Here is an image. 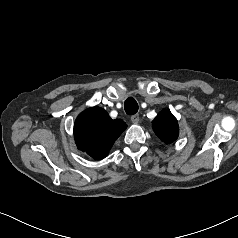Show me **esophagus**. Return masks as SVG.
Returning a JSON list of instances; mask_svg holds the SVG:
<instances>
[{
	"label": "esophagus",
	"mask_w": 238,
	"mask_h": 238,
	"mask_svg": "<svg viewBox=\"0 0 238 238\" xmlns=\"http://www.w3.org/2000/svg\"><path fill=\"white\" fill-rule=\"evenodd\" d=\"M131 121H132L133 124H138L139 121H140L139 115H138V114L133 115V116L131 117Z\"/></svg>",
	"instance_id": "1"
}]
</instances>
